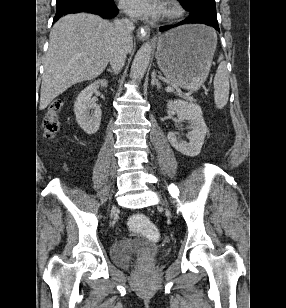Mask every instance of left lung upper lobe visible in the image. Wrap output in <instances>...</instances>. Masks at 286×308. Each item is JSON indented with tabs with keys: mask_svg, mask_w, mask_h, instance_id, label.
<instances>
[{
	"mask_svg": "<svg viewBox=\"0 0 286 308\" xmlns=\"http://www.w3.org/2000/svg\"><path fill=\"white\" fill-rule=\"evenodd\" d=\"M181 5L185 8H189L195 4H214V0H179Z\"/></svg>",
	"mask_w": 286,
	"mask_h": 308,
	"instance_id": "5c2ea615",
	"label": "left lung upper lobe"
}]
</instances>
